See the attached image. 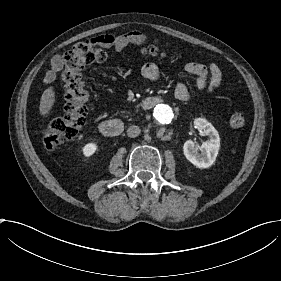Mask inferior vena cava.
Masks as SVG:
<instances>
[{"label":"inferior vena cava","mask_w":281,"mask_h":281,"mask_svg":"<svg viewBox=\"0 0 281 281\" xmlns=\"http://www.w3.org/2000/svg\"><path fill=\"white\" fill-rule=\"evenodd\" d=\"M140 134V128L136 125L130 126L127 129V136L130 138H135Z\"/></svg>","instance_id":"inferior-vena-cava-1"}]
</instances>
